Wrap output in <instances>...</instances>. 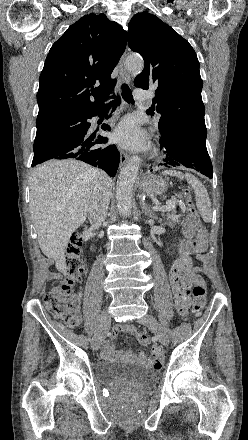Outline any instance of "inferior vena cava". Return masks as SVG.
I'll use <instances>...</instances> for the list:
<instances>
[{
	"instance_id": "inferior-vena-cava-1",
	"label": "inferior vena cava",
	"mask_w": 248,
	"mask_h": 440,
	"mask_svg": "<svg viewBox=\"0 0 248 440\" xmlns=\"http://www.w3.org/2000/svg\"><path fill=\"white\" fill-rule=\"evenodd\" d=\"M94 179L93 192L88 208V219L91 228L98 229L107 217L111 182L108 175L101 170L94 172Z\"/></svg>"
}]
</instances>
